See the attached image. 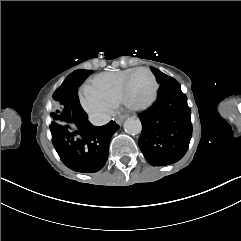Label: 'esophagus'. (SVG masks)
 <instances>
[{
	"label": "esophagus",
	"instance_id": "obj_1",
	"mask_svg": "<svg viewBox=\"0 0 241 241\" xmlns=\"http://www.w3.org/2000/svg\"><path fill=\"white\" fill-rule=\"evenodd\" d=\"M125 118H127V115H126V114L117 117L115 121H116V123H117L118 125H121V124L123 123V121L125 120Z\"/></svg>",
	"mask_w": 241,
	"mask_h": 241
}]
</instances>
